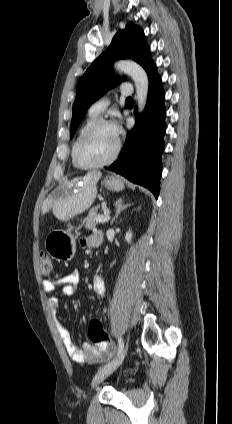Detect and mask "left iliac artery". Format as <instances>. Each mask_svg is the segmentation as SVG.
<instances>
[{
  "label": "left iliac artery",
  "instance_id": "1",
  "mask_svg": "<svg viewBox=\"0 0 232 424\" xmlns=\"http://www.w3.org/2000/svg\"><path fill=\"white\" fill-rule=\"evenodd\" d=\"M123 347H124V342L122 341L121 338H118V352H117V355H119L122 352Z\"/></svg>",
  "mask_w": 232,
  "mask_h": 424
}]
</instances>
